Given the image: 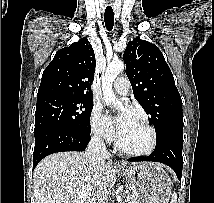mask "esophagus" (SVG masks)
Wrapping results in <instances>:
<instances>
[{"mask_svg":"<svg viewBox=\"0 0 214 203\" xmlns=\"http://www.w3.org/2000/svg\"><path fill=\"white\" fill-rule=\"evenodd\" d=\"M116 165H117V166H121V164H120L119 162H116Z\"/></svg>","mask_w":214,"mask_h":203,"instance_id":"obj_1","label":"esophagus"}]
</instances>
